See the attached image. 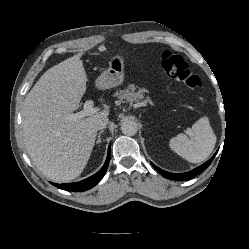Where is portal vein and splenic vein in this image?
I'll list each match as a JSON object with an SVG mask.
<instances>
[{"mask_svg": "<svg viewBox=\"0 0 249 249\" xmlns=\"http://www.w3.org/2000/svg\"><path fill=\"white\" fill-rule=\"evenodd\" d=\"M94 102L92 100H88L84 103L83 110L80 112H77L75 114L70 115L68 118L70 120H77L81 119L87 116H90L92 114L97 113L99 110L97 108H94Z\"/></svg>", "mask_w": 249, "mask_h": 249, "instance_id": "18ae733b", "label": "portal vein and splenic vein"}]
</instances>
